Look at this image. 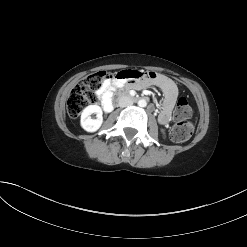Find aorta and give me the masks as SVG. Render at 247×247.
Wrapping results in <instances>:
<instances>
[{
  "instance_id": "obj_1",
  "label": "aorta",
  "mask_w": 247,
  "mask_h": 247,
  "mask_svg": "<svg viewBox=\"0 0 247 247\" xmlns=\"http://www.w3.org/2000/svg\"><path fill=\"white\" fill-rule=\"evenodd\" d=\"M138 106L139 107H146L147 106L146 100H144V99L139 100L138 101Z\"/></svg>"
}]
</instances>
